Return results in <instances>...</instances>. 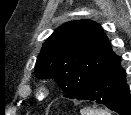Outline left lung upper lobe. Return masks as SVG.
Masks as SVG:
<instances>
[{
    "label": "left lung upper lobe",
    "instance_id": "1",
    "mask_svg": "<svg viewBox=\"0 0 131 115\" xmlns=\"http://www.w3.org/2000/svg\"><path fill=\"white\" fill-rule=\"evenodd\" d=\"M102 27L91 20H75L60 26L43 44L35 65L38 78H53L74 99L104 72L116 67Z\"/></svg>",
    "mask_w": 131,
    "mask_h": 115
}]
</instances>
